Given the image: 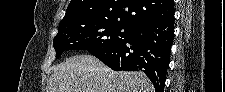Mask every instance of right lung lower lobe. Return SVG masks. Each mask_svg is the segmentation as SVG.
Wrapping results in <instances>:
<instances>
[{
	"instance_id": "98d812e1",
	"label": "right lung lower lobe",
	"mask_w": 225,
	"mask_h": 92,
	"mask_svg": "<svg viewBox=\"0 0 225 92\" xmlns=\"http://www.w3.org/2000/svg\"><path fill=\"white\" fill-rule=\"evenodd\" d=\"M174 38V18L133 27L129 37L93 54L118 71H143L156 92H163Z\"/></svg>"
}]
</instances>
